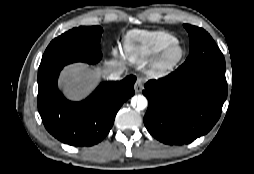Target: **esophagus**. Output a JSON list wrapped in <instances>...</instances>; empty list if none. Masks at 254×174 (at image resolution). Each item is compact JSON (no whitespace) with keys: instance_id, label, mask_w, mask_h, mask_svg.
<instances>
[{"instance_id":"1","label":"esophagus","mask_w":254,"mask_h":174,"mask_svg":"<svg viewBox=\"0 0 254 174\" xmlns=\"http://www.w3.org/2000/svg\"><path fill=\"white\" fill-rule=\"evenodd\" d=\"M143 89V80L141 78L137 79L134 85V90L136 93H140Z\"/></svg>"}]
</instances>
